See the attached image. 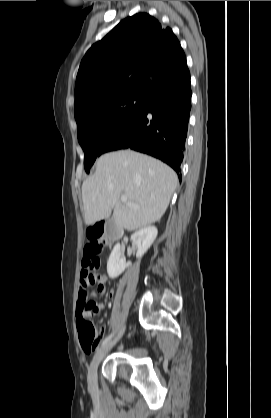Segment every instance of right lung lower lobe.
<instances>
[{"label": "right lung lower lobe", "instance_id": "obj_1", "mask_svg": "<svg viewBox=\"0 0 271 418\" xmlns=\"http://www.w3.org/2000/svg\"><path fill=\"white\" fill-rule=\"evenodd\" d=\"M191 94L190 72L185 63L106 137L98 156L130 148L161 159L178 173L185 151ZM178 177L181 180V175Z\"/></svg>", "mask_w": 271, "mask_h": 418}]
</instances>
